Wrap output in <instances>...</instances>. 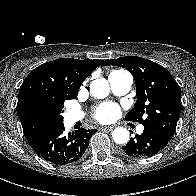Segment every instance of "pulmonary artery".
Wrapping results in <instances>:
<instances>
[{"label":"pulmonary artery","mask_w":196,"mask_h":196,"mask_svg":"<svg viewBox=\"0 0 196 196\" xmlns=\"http://www.w3.org/2000/svg\"><path fill=\"white\" fill-rule=\"evenodd\" d=\"M108 81L114 94L124 95L131 89L133 78L128 72H117L110 73L108 76ZM83 117L84 114L81 111H71L68 113V118L71 122L79 121ZM143 130L144 127L142 125L138 126V133H142Z\"/></svg>","instance_id":"obj_1"}]
</instances>
